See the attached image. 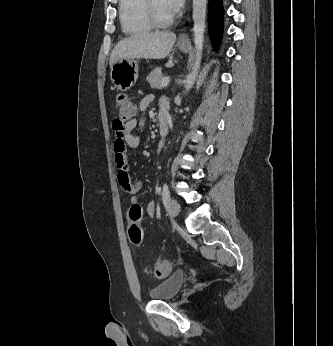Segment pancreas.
Wrapping results in <instances>:
<instances>
[{
    "label": "pancreas",
    "mask_w": 333,
    "mask_h": 346,
    "mask_svg": "<svg viewBox=\"0 0 333 346\" xmlns=\"http://www.w3.org/2000/svg\"><path fill=\"white\" fill-rule=\"evenodd\" d=\"M146 79L152 88L160 89L162 87L161 82L163 79L161 68H155L153 71L150 72Z\"/></svg>",
    "instance_id": "cf45deb5"
}]
</instances>
